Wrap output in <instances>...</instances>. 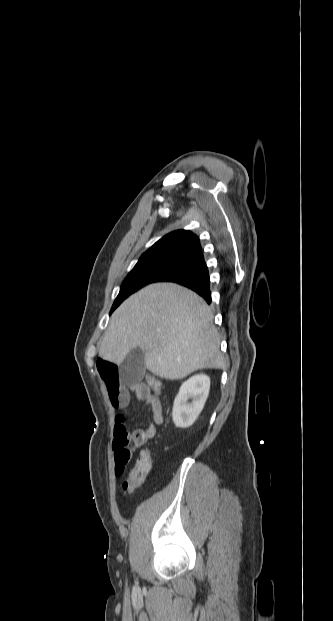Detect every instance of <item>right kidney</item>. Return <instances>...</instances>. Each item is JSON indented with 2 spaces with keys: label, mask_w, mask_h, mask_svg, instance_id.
<instances>
[{
  "label": "right kidney",
  "mask_w": 333,
  "mask_h": 621,
  "mask_svg": "<svg viewBox=\"0 0 333 621\" xmlns=\"http://www.w3.org/2000/svg\"><path fill=\"white\" fill-rule=\"evenodd\" d=\"M209 389L210 378L205 374L192 376L182 384L172 410L176 427L187 428L195 422L207 400Z\"/></svg>",
  "instance_id": "right-kidney-1"
}]
</instances>
